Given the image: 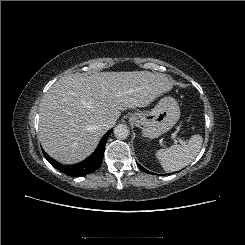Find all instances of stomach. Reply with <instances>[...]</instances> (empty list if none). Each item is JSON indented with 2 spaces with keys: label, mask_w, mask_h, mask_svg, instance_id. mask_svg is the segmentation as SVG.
Masks as SVG:
<instances>
[{
  "label": "stomach",
  "mask_w": 245,
  "mask_h": 245,
  "mask_svg": "<svg viewBox=\"0 0 245 245\" xmlns=\"http://www.w3.org/2000/svg\"><path fill=\"white\" fill-rule=\"evenodd\" d=\"M179 118L180 107L170 96L163 97L148 113L137 112L130 115V120L142 130V135L151 139L169 131Z\"/></svg>",
  "instance_id": "obj_1"
}]
</instances>
